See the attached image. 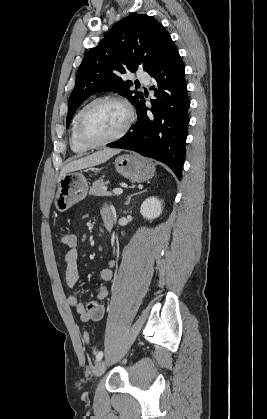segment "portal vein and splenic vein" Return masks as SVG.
Here are the masks:
<instances>
[{
  "instance_id": "obj_1",
  "label": "portal vein and splenic vein",
  "mask_w": 267,
  "mask_h": 419,
  "mask_svg": "<svg viewBox=\"0 0 267 419\" xmlns=\"http://www.w3.org/2000/svg\"><path fill=\"white\" fill-rule=\"evenodd\" d=\"M113 193L116 195H121L123 193V190L121 188H115L113 189Z\"/></svg>"
}]
</instances>
